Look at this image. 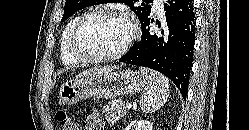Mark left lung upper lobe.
<instances>
[{
  "mask_svg": "<svg viewBox=\"0 0 249 130\" xmlns=\"http://www.w3.org/2000/svg\"><path fill=\"white\" fill-rule=\"evenodd\" d=\"M110 2H118L125 3L128 5L132 11L138 16L140 23L146 20L151 13V5L152 0H143V2L138 5V0H66L64 7V15L61 21H65L76 11L92 6L98 5L102 3H110Z\"/></svg>",
  "mask_w": 249,
  "mask_h": 130,
  "instance_id": "obj_1",
  "label": "left lung upper lobe"
}]
</instances>
